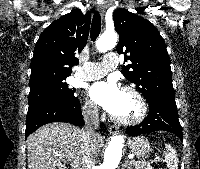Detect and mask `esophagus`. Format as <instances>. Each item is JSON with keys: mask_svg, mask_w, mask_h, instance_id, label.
Wrapping results in <instances>:
<instances>
[{"mask_svg": "<svg viewBox=\"0 0 200 169\" xmlns=\"http://www.w3.org/2000/svg\"><path fill=\"white\" fill-rule=\"evenodd\" d=\"M99 12H100V15L103 18L104 15H105V7H104V5H100L99 6ZM118 129H119V127L117 125H111L110 128H109V132H110V134L115 135V134H117Z\"/></svg>", "mask_w": 200, "mask_h": 169, "instance_id": "34e87169", "label": "esophagus"}]
</instances>
